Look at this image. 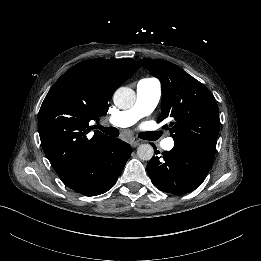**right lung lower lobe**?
Here are the masks:
<instances>
[{"instance_id":"1","label":"right lung lower lobe","mask_w":261,"mask_h":261,"mask_svg":"<svg viewBox=\"0 0 261 261\" xmlns=\"http://www.w3.org/2000/svg\"><path fill=\"white\" fill-rule=\"evenodd\" d=\"M132 149L117 138H107L93 155L60 176L66 186L85 195L108 191L121 174Z\"/></svg>"}]
</instances>
